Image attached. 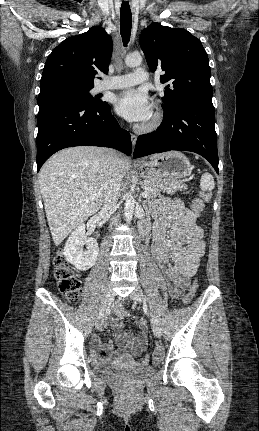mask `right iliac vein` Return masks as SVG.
<instances>
[{
  "mask_svg": "<svg viewBox=\"0 0 259 431\" xmlns=\"http://www.w3.org/2000/svg\"><path fill=\"white\" fill-rule=\"evenodd\" d=\"M114 297H115V293L112 290V288L109 286L105 291L104 299H103L102 305L100 307L99 313H98L97 318H96L95 324H96V327L98 329L102 326L104 319H105V316H106V313H107V310L110 307V305L112 304Z\"/></svg>",
  "mask_w": 259,
  "mask_h": 431,
  "instance_id": "63e3f726",
  "label": "right iliac vein"
}]
</instances>
